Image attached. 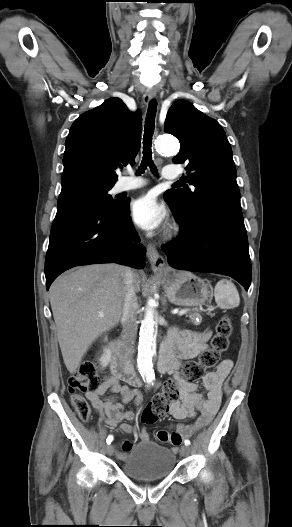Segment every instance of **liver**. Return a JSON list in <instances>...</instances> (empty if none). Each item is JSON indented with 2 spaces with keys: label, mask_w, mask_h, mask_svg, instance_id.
Returning a JSON list of instances; mask_svg holds the SVG:
<instances>
[{
  "label": "liver",
  "mask_w": 292,
  "mask_h": 527,
  "mask_svg": "<svg viewBox=\"0 0 292 527\" xmlns=\"http://www.w3.org/2000/svg\"><path fill=\"white\" fill-rule=\"evenodd\" d=\"M124 273L125 268L118 264H96L79 267L52 283L50 304L63 360L70 373L76 372L93 341L119 323ZM134 285L139 291L137 272Z\"/></svg>",
  "instance_id": "6515ba94"
}]
</instances>
